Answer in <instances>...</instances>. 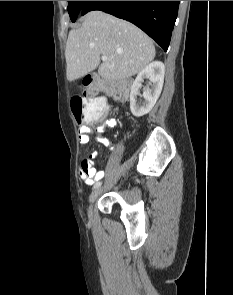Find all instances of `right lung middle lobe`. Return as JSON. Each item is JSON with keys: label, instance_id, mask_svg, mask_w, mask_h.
I'll return each instance as SVG.
<instances>
[{"label": "right lung middle lobe", "instance_id": "dd1d6c3e", "mask_svg": "<svg viewBox=\"0 0 233 295\" xmlns=\"http://www.w3.org/2000/svg\"><path fill=\"white\" fill-rule=\"evenodd\" d=\"M86 1H68V13L72 22H75Z\"/></svg>", "mask_w": 233, "mask_h": 295}]
</instances>
